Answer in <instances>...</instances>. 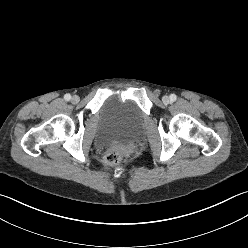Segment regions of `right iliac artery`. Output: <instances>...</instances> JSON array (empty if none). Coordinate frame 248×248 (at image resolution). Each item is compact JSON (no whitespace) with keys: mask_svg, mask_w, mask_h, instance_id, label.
Listing matches in <instances>:
<instances>
[{"mask_svg":"<svg viewBox=\"0 0 248 248\" xmlns=\"http://www.w3.org/2000/svg\"><path fill=\"white\" fill-rule=\"evenodd\" d=\"M64 99L66 101H69L71 99V95L70 94H65Z\"/></svg>","mask_w":248,"mask_h":248,"instance_id":"right-iliac-artery-1","label":"right iliac artery"}]
</instances>
